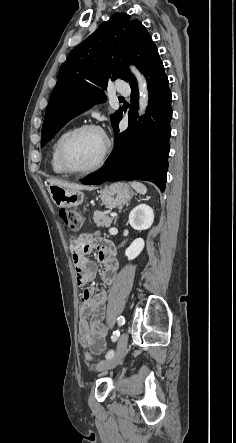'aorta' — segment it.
Wrapping results in <instances>:
<instances>
[{"label": "aorta", "instance_id": "aorta-1", "mask_svg": "<svg viewBox=\"0 0 236 443\" xmlns=\"http://www.w3.org/2000/svg\"><path fill=\"white\" fill-rule=\"evenodd\" d=\"M131 71L136 76L139 83V92H140L139 113L142 114L144 113L148 105V91L146 87V82L144 78L141 76L140 72L134 66H131Z\"/></svg>", "mask_w": 236, "mask_h": 443}]
</instances>
